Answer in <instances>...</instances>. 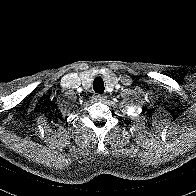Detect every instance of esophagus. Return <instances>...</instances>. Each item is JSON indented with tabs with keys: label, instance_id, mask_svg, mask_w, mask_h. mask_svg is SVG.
Here are the masks:
<instances>
[{
	"label": "esophagus",
	"instance_id": "esophagus-1",
	"mask_svg": "<svg viewBox=\"0 0 196 196\" xmlns=\"http://www.w3.org/2000/svg\"><path fill=\"white\" fill-rule=\"evenodd\" d=\"M94 98H95L96 101H103L105 96L102 95V94H97V95L94 96Z\"/></svg>",
	"mask_w": 196,
	"mask_h": 196
}]
</instances>
